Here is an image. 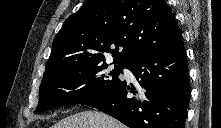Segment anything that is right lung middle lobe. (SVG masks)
I'll return each mask as SVG.
<instances>
[{
	"instance_id": "right-lung-middle-lobe-1",
	"label": "right lung middle lobe",
	"mask_w": 221,
	"mask_h": 128,
	"mask_svg": "<svg viewBox=\"0 0 221 128\" xmlns=\"http://www.w3.org/2000/svg\"><path fill=\"white\" fill-rule=\"evenodd\" d=\"M124 67L116 65L106 73V63L75 61L45 71L36 112L83 103L105 94L121 82L118 75Z\"/></svg>"
}]
</instances>
